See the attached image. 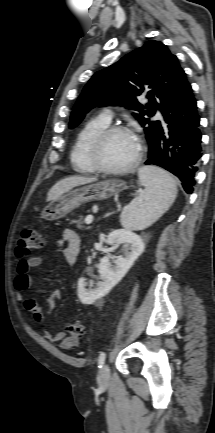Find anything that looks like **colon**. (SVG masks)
<instances>
[{"label":"colon","instance_id":"colon-1","mask_svg":"<svg viewBox=\"0 0 215 433\" xmlns=\"http://www.w3.org/2000/svg\"><path fill=\"white\" fill-rule=\"evenodd\" d=\"M43 245V237L39 230L32 225L24 226L19 234L16 255L25 258L28 254ZM67 331L72 338L82 337L85 333V327L81 323H71L67 326Z\"/></svg>","mask_w":215,"mask_h":433}]
</instances>
